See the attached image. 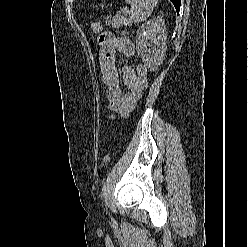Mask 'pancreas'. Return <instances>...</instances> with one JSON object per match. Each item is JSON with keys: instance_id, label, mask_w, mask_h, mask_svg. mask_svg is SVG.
<instances>
[{"instance_id": "obj_1", "label": "pancreas", "mask_w": 248, "mask_h": 247, "mask_svg": "<svg viewBox=\"0 0 248 247\" xmlns=\"http://www.w3.org/2000/svg\"><path fill=\"white\" fill-rule=\"evenodd\" d=\"M110 23L112 24V26L114 28H118V27H121V26H127L130 24V22L125 18V17H114Z\"/></svg>"}]
</instances>
